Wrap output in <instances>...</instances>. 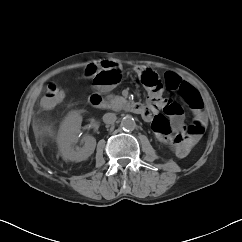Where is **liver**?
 <instances>
[{
  "mask_svg": "<svg viewBox=\"0 0 242 242\" xmlns=\"http://www.w3.org/2000/svg\"><path fill=\"white\" fill-rule=\"evenodd\" d=\"M33 129H34V131H35L36 134L39 133V131H38V126H36L35 124H33ZM41 133H42V134H48V135H51V134H52V130H51L50 127H48V126H44V127H42V129H41Z\"/></svg>",
  "mask_w": 242,
  "mask_h": 242,
  "instance_id": "1",
  "label": "liver"
}]
</instances>
